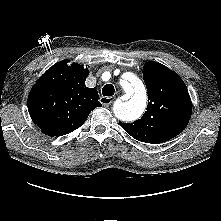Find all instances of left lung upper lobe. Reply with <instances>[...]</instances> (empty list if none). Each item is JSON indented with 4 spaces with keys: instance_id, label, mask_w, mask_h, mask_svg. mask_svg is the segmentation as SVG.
I'll return each mask as SVG.
<instances>
[{
    "instance_id": "5c2ea615",
    "label": "left lung upper lobe",
    "mask_w": 221,
    "mask_h": 221,
    "mask_svg": "<svg viewBox=\"0 0 221 221\" xmlns=\"http://www.w3.org/2000/svg\"><path fill=\"white\" fill-rule=\"evenodd\" d=\"M148 91L147 111L133 123H120L133 138L146 143H163L187 126L192 103L183 80L172 70L157 62L143 68Z\"/></svg>"
}]
</instances>
